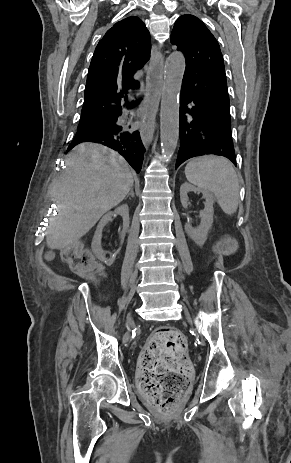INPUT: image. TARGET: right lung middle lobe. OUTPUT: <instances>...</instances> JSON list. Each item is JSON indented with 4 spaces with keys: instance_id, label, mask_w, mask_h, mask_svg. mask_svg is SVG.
<instances>
[{
    "instance_id": "dd1d6c3e",
    "label": "right lung middle lobe",
    "mask_w": 291,
    "mask_h": 463,
    "mask_svg": "<svg viewBox=\"0 0 291 463\" xmlns=\"http://www.w3.org/2000/svg\"><path fill=\"white\" fill-rule=\"evenodd\" d=\"M92 125H94L93 121H82L81 120L80 123H79L78 129L89 127V126H92Z\"/></svg>"
}]
</instances>
